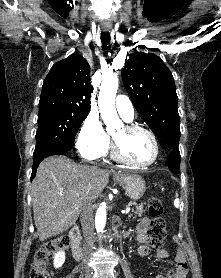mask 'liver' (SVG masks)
<instances>
[{"label": "liver", "mask_w": 221, "mask_h": 278, "mask_svg": "<svg viewBox=\"0 0 221 278\" xmlns=\"http://www.w3.org/2000/svg\"><path fill=\"white\" fill-rule=\"evenodd\" d=\"M111 171L79 165L65 156L46 158L31 186L34 221L44 241L72 227L86 201L98 198Z\"/></svg>", "instance_id": "obj_1"}]
</instances>
